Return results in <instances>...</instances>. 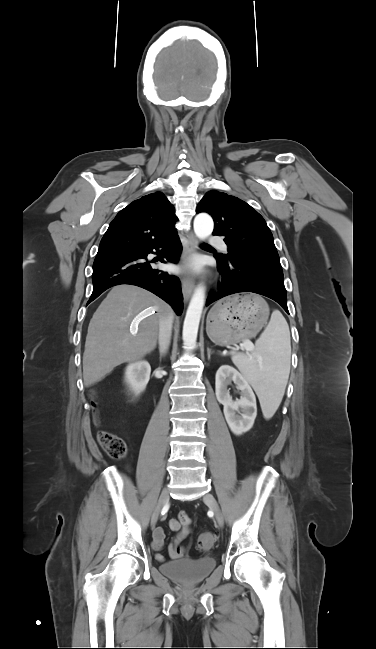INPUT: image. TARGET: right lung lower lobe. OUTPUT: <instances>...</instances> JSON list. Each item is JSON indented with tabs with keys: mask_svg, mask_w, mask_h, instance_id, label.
<instances>
[{
	"mask_svg": "<svg viewBox=\"0 0 376 649\" xmlns=\"http://www.w3.org/2000/svg\"><path fill=\"white\" fill-rule=\"evenodd\" d=\"M161 248V250H159ZM160 252L163 263H177L182 245L177 233L131 252L97 256L93 264V292L88 303L106 289L119 284H132L151 291L172 306L177 315L183 308L178 277L153 269L147 255Z\"/></svg>",
	"mask_w": 376,
	"mask_h": 649,
	"instance_id": "1",
	"label": "right lung lower lobe"
}]
</instances>
